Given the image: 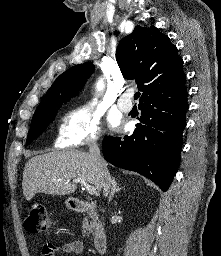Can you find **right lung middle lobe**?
I'll return each instance as SVG.
<instances>
[{"label":"right lung middle lobe","mask_w":221,"mask_h":256,"mask_svg":"<svg viewBox=\"0 0 221 256\" xmlns=\"http://www.w3.org/2000/svg\"><path fill=\"white\" fill-rule=\"evenodd\" d=\"M69 99L57 98L47 103L40 104L32 118L30 130L28 132L27 144L37 138L55 118V113L63 103Z\"/></svg>","instance_id":"dd1d6c3e"}]
</instances>
